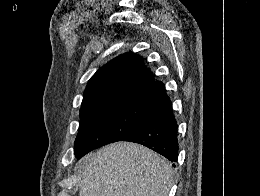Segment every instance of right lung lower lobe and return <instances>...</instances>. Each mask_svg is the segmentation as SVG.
Masks as SVG:
<instances>
[{
  "instance_id": "obj_1",
  "label": "right lung lower lobe",
  "mask_w": 260,
  "mask_h": 196,
  "mask_svg": "<svg viewBox=\"0 0 260 196\" xmlns=\"http://www.w3.org/2000/svg\"><path fill=\"white\" fill-rule=\"evenodd\" d=\"M144 109L155 116L153 120L130 132L119 141H130L142 144L163 155L171 162L178 159L177 123L172 112L171 102L165 94L144 106ZM93 149H76L79 159ZM175 167V164H173Z\"/></svg>"
}]
</instances>
